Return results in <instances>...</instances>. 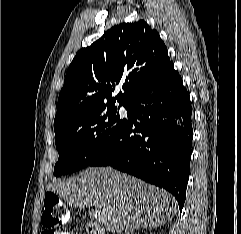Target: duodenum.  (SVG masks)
Masks as SVG:
<instances>
[{
	"mask_svg": "<svg viewBox=\"0 0 241 234\" xmlns=\"http://www.w3.org/2000/svg\"><path fill=\"white\" fill-rule=\"evenodd\" d=\"M87 230L89 234H105L104 230L96 224L88 223Z\"/></svg>",
	"mask_w": 241,
	"mask_h": 234,
	"instance_id": "1",
	"label": "duodenum"
}]
</instances>
